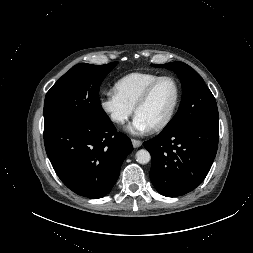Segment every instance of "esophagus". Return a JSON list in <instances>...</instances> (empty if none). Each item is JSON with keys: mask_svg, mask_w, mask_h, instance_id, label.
Returning a JSON list of instances; mask_svg holds the SVG:
<instances>
[{"mask_svg": "<svg viewBox=\"0 0 253 253\" xmlns=\"http://www.w3.org/2000/svg\"><path fill=\"white\" fill-rule=\"evenodd\" d=\"M131 142L134 148H138L142 145V142L140 140L132 139Z\"/></svg>", "mask_w": 253, "mask_h": 253, "instance_id": "obj_1", "label": "esophagus"}]
</instances>
